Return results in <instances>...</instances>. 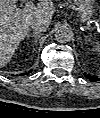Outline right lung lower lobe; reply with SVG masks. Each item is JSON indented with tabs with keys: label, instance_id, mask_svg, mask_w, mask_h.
I'll use <instances>...</instances> for the list:
<instances>
[{
	"label": "right lung lower lobe",
	"instance_id": "right-lung-lower-lobe-1",
	"mask_svg": "<svg viewBox=\"0 0 100 118\" xmlns=\"http://www.w3.org/2000/svg\"><path fill=\"white\" fill-rule=\"evenodd\" d=\"M30 72H31V71H29L28 73H30ZM28 73H25V75L28 74Z\"/></svg>",
	"mask_w": 100,
	"mask_h": 118
}]
</instances>
